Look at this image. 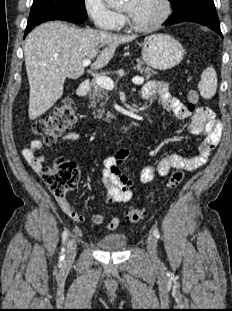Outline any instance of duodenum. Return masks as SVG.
Wrapping results in <instances>:
<instances>
[{
	"label": "duodenum",
	"mask_w": 232,
	"mask_h": 311,
	"mask_svg": "<svg viewBox=\"0 0 232 311\" xmlns=\"http://www.w3.org/2000/svg\"><path fill=\"white\" fill-rule=\"evenodd\" d=\"M89 89H90V82L88 79H85V80L81 81V83L77 89V94L79 96H85L88 94Z\"/></svg>",
	"instance_id": "1"
}]
</instances>
